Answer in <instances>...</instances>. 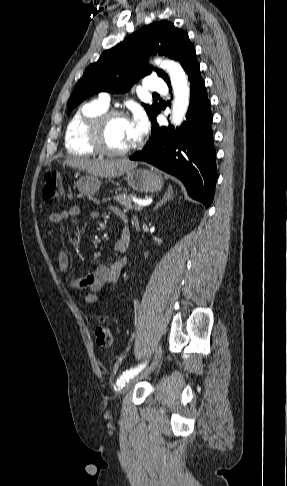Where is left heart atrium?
I'll return each instance as SVG.
<instances>
[{
  "label": "left heart atrium",
  "mask_w": 287,
  "mask_h": 486,
  "mask_svg": "<svg viewBox=\"0 0 287 486\" xmlns=\"http://www.w3.org/2000/svg\"><path fill=\"white\" fill-rule=\"evenodd\" d=\"M131 132L133 141H138L144 133L146 128V122L143 116L137 115L133 120L130 121Z\"/></svg>",
  "instance_id": "39dd6f15"
}]
</instances>
